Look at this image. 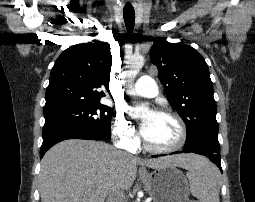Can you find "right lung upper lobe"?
Instances as JSON below:
<instances>
[{
	"label": "right lung upper lobe",
	"instance_id": "1",
	"mask_svg": "<svg viewBox=\"0 0 255 202\" xmlns=\"http://www.w3.org/2000/svg\"><path fill=\"white\" fill-rule=\"evenodd\" d=\"M112 56L102 42L69 47L56 60L46 91L44 114L72 106L100 102L109 90Z\"/></svg>",
	"mask_w": 255,
	"mask_h": 202
}]
</instances>
